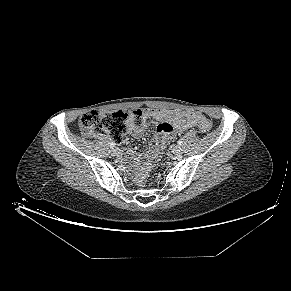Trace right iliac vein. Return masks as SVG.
I'll list each match as a JSON object with an SVG mask.
<instances>
[{
	"label": "right iliac vein",
	"mask_w": 291,
	"mask_h": 291,
	"mask_svg": "<svg viewBox=\"0 0 291 291\" xmlns=\"http://www.w3.org/2000/svg\"><path fill=\"white\" fill-rule=\"evenodd\" d=\"M112 154H113L114 156H118V155L120 154L119 149H118V148H114V149H112Z\"/></svg>",
	"instance_id": "63e3f726"
}]
</instances>
